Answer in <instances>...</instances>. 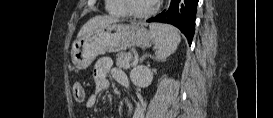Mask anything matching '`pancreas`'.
Masks as SVG:
<instances>
[{
	"instance_id": "cf45deb5",
	"label": "pancreas",
	"mask_w": 273,
	"mask_h": 118,
	"mask_svg": "<svg viewBox=\"0 0 273 118\" xmlns=\"http://www.w3.org/2000/svg\"><path fill=\"white\" fill-rule=\"evenodd\" d=\"M116 57V65L119 68L127 70L132 66L130 63L132 60V55L130 53L120 52L116 55Z\"/></svg>"
}]
</instances>
